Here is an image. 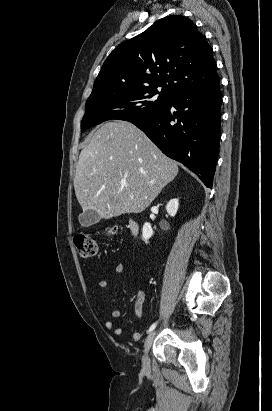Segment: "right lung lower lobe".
I'll use <instances>...</instances> for the list:
<instances>
[{
    "label": "right lung lower lobe",
    "mask_w": 272,
    "mask_h": 411,
    "mask_svg": "<svg viewBox=\"0 0 272 411\" xmlns=\"http://www.w3.org/2000/svg\"><path fill=\"white\" fill-rule=\"evenodd\" d=\"M221 97L218 78L207 87L177 93L153 116L131 123L165 155L187 166L212 188L219 154Z\"/></svg>",
    "instance_id": "right-lung-lower-lobe-1"
}]
</instances>
